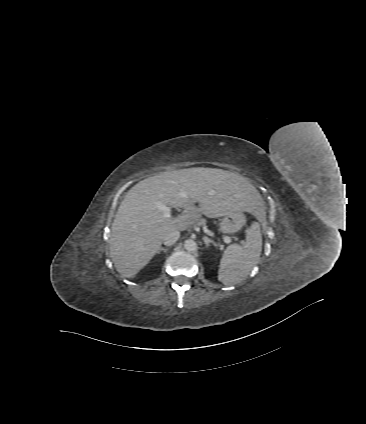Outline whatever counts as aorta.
Returning <instances> with one entry per match:
<instances>
[{
	"instance_id": "aorta-1",
	"label": "aorta",
	"mask_w": 366,
	"mask_h": 424,
	"mask_svg": "<svg viewBox=\"0 0 366 424\" xmlns=\"http://www.w3.org/2000/svg\"><path fill=\"white\" fill-rule=\"evenodd\" d=\"M184 248L187 251H195V250H197V243L192 239H188L184 243Z\"/></svg>"
}]
</instances>
